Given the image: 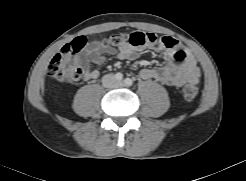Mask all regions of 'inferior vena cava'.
Returning <instances> with one entry per match:
<instances>
[{
	"label": "inferior vena cava",
	"mask_w": 246,
	"mask_h": 181,
	"mask_svg": "<svg viewBox=\"0 0 246 181\" xmlns=\"http://www.w3.org/2000/svg\"><path fill=\"white\" fill-rule=\"evenodd\" d=\"M116 82V78L113 74H107L102 77L103 86L106 88H113Z\"/></svg>",
	"instance_id": "inferior-vena-cava-1"
}]
</instances>
